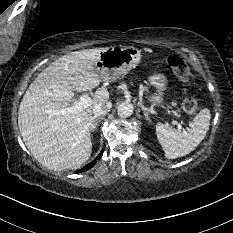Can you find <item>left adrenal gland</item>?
Wrapping results in <instances>:
<instances>
[{
  "instance_id": "a2214340",
  "label": "left adrenal gland",
  "mask_w": 233,
  "mask_h": 233,
  "mask_svg": "<svg viewBox=\"0 0 233 233\" xmlns=\"http://www.w3.org/2000/svg\"><path fill=\"white\" fill-rule=\"evenodd\" d=\"M142 111L144 112V116H145V119L148 120L149 122H151L150 118H149V114H148V111L145 109V108H141Z\"/></svg>"
}]
</instances>
